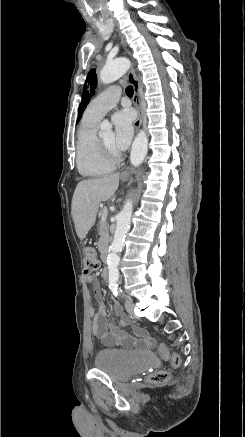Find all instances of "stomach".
I'll return each mask as SVG.
<instances>
[{"instance_id":"obj_1","label":"stomach","mask_w":245,"mask_h":437,"mask_svg":"<svg viewBox=\"0 0 245 437\" xmlns=\"http://www.w3.org/2000/svg\"><path fill=\"white\" fill-rule=\"evenodd\" d=\"M122 179H123V180H126V179H127V175H124V176L122 177Z\"/></svg>"}]
</instances>
